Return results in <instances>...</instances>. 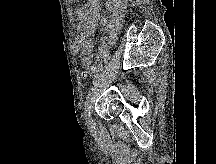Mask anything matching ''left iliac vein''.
I'll return each instance as SVG.
<instances>
[{"mask_svg":"<svg viewBox=\"0 0 216 164\" xmlns=\"http://www.w3.org/2000/svg\"><path fill=\"white\" fill-rule=\"evenodd\" d=\"M86 122H87L89 127L94 126V121H93V118L91 116L86 118Z\"/></svg>","mask_w":216,"mask_h":164,"instance_id":"4c4485c4","label":"left iliac vein"}]
</instances>
